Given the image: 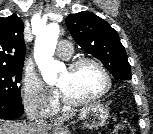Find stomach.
Here are the masks:
<instances>
[{
	"label": "stomach",
	"instance_id": "stomach-1",
	"mask_svg": "<svg viewBox=\"0 0 153 134\" xmlns=\"http://www.w3.org/2000/svg\"><path fill=\"white\" fill-rule=\"evenodd\" d=\"M109 117V110L106 106L100 103L90 104L81 109L79 119L85 128L98 129L102 127Z\"/></svg>",
	"mask_w": 153,
	"mask_h": 134
}]
</instances>
